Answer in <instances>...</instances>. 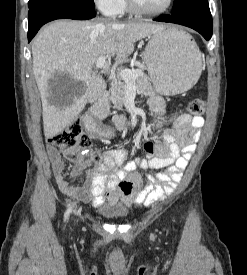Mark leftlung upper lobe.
I'll list each match as a JSON object with an SVG mask.
<instances>
[{"label":"left lung upper lobe","instance_id":"1","mask_svg":"<svg viewBox=\"0 0 247 275\" xmlns=\"http://www.w3.org/2000/svg\"><path fill=\"white\" fill-rule=\"evenodd\" d=\"M201 8H209L208 0H174L171 15L183 14Z\"/></svg>","mask_w":247,"mask_h":275}]
</instances>
